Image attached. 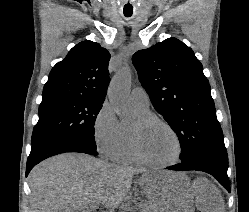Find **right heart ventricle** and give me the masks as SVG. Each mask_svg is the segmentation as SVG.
I'll return each mask as SVG.
<instances>
[{
    "label": "right heart ventricle",
    "instance_id": "e07e8e85",
    "mask_svg": "<svg viewBox=\"0 0 249 212\" xmlns=\"http://www.w3.org/2000/svg\"><path fill=\"white\" fill-rule=\"evenodd\" d=\"M134 110L139 117L151 115L149 110L144 111L137 108H134ZM120 129L122 132V144L117 152L115 160L126 164H136L138 161L134 157L131 150L128 127L125 125H120Z\"/></svg>",
    "mask_w": 249,
    "mask_h": 212
}]
</instances>
